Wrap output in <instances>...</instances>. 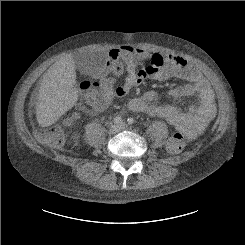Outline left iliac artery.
<instances>
[{
  "label": "left iliac artery",
  "mask_w": 245,
  "mask_h": 245,
  "mask_svg": "<svg viewBox=\"0 0 245 245\" xmlns=\"http://www.w3.org/2000/svg\"><path fill=\"white\" fill-rule=\"evenodd\" d=\"M127 123L130 124V125H132V124L135 123V119H134L133 117H129V118L127 119Z\"/></svg>",
  "instance_id": "left-iliac-artery-1"
}]
</instances>
